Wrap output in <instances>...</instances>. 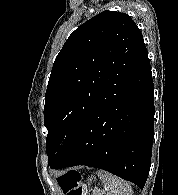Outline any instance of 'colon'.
Segmentation results:
<instances>
[{
  "label": "colon",
  "instance_id": "colon-1",
  "mask_svg": "<svg viewBox=\"0 0 178 195\" xmlns=\"http://www.w3.org/2000/svg\"><path fill=\"white\" fill-rule=\"evenodd\" d=\"M59 185L66 195H85L80 182L79 173L76 171L66 172L60 178Z\"/></svg>",
  "mask_w": 178,
  "mask_h": 195
}]
</instances>
